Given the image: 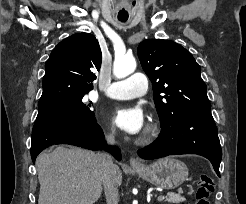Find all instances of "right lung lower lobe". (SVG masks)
Returning a JSON list of instances; mask_svg holds the SVG:
<instances>
[{"label": "right lung lower lobe", "instance_id": "1", "mask_svg": "<svg viewBox=\"0 0 246 204\" xmlns=\"http://www.w3.org/2000/svg\"><path fill=\"white\" fill-rule=\"evenodd\" d=\"M54 144H70L94 151L108 149L103 132L94 117L84 121L53 113L38 114L32 130L33 163L43 149ZM110 151L116 159L121 160L120 150L117 147L110 148Z\"/></svg>", "mask_w": 246, "mask_h": 204}]
</instances>
